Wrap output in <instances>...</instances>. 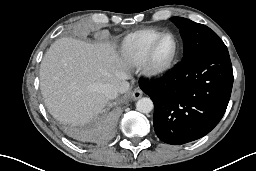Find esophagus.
I'll return each mask as SVG.
<instances>
[{"label":"esophagus","instance_id":"1","mask_svg":"<svg viewBox=\"0 0 256 171\" xmlns=\"http://www.w3.org/2000/svg\"><path fill=\"white\" fill-rule=\"evenodd\" d=\"M142 95H143L142 90L139 89V88H136V89L133 90V92L131 94V97H132L133 100H137V99L141 98Z\"/></svg>","mask_w":256,"mask_h":171}]
</instances>
